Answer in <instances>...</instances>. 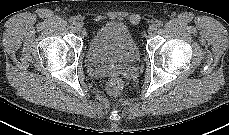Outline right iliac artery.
I'll return each instance as SVG.
<instances>
[{
    "instance_id": "obj_1",
    "label": "right iliac artery",
    "mask_w": 229,
    "mask_h": 135,
    "mask_svg": "<svg viewBox=\"0 0 229 135\" xmlns=\"http://www.w3.org/2000/svg\"><path fill=\"white\" fill-rule=\"evenodd\" d=\"M69 23L70 24H75L76 23V19L75 18H70L69 19Z\"/></svg>"
}]
</instances>
